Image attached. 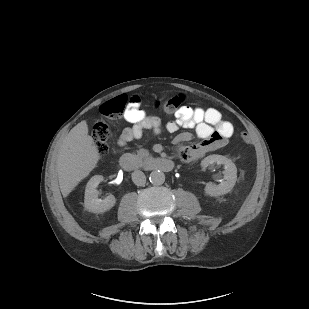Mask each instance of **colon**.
Instances as JSON below:
<instances>
[{
  "label": "colon",
  "mask_w": 309,
  "mask_h": 309,
  "mask_svg": "<svg viewBox=\"0 0 309 309\" xmlns=\"http://www.w3.org/2000/svg\"><path fill=\"white\" fill-rule=\"evenodd\" d=\"M183 101L182 95H176L170 97L164 101L159 102V105L169 113H172ZM127 97L121 96L113 100L107 101L100 107V113L103 119L94 125L92 136L96 146V150L99 155L104 156L109 151V141L112 137V133L106 119L119 118L125 109ZM240 137L244 143L251 142V136L247 132H241Z\"/></svg>",
  "instance_id": "obj_1"
}]
</instances>
